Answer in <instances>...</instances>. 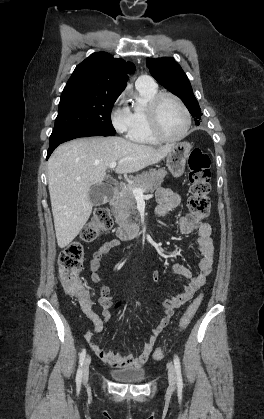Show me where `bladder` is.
<instances>
[{
    "instance_id": "31cf9c89",
    "label": "bladder",
    "mask_w": 264,
    "mask_h": 419,
    "mask_svg": "<svg viewBox=\"0 0 264 419\" xmlns=\"http://www.w3.org/2000/svg\"><path fill=\"white\" fill-rule=\"evenodd\" d=\"M110 376L122 383H140L146 379V371L140 367H129L111 370Z\"/></svg>"
}]
</instances>
